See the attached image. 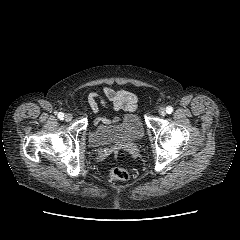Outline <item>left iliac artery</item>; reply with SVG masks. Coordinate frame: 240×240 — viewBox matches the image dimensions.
Masks as SVG:
<instances>
[{
    "instance_id": "left-iliac-artery-1",
    "label": "left iliac artery",
    "mask_w": 240,
    "mask_h": 240,
    "mask_svg": "<svg viewBox=\"0 0 240 240\" xmlns=\"http://www.w3.org/2000/svg\"><path fill=\"white\" fill-rule=\"evenodd\" d=\"M173 112V107L168 106L166 107V113L171 114Z\"/></svg>"
}]
</instances>
